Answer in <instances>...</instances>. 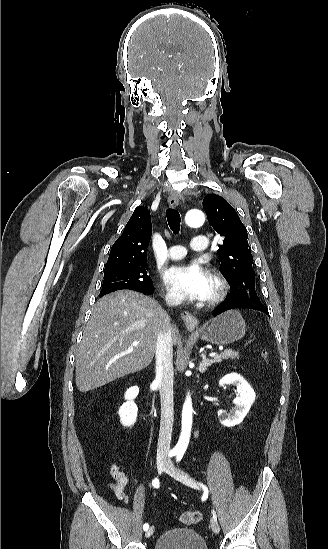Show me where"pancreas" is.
Here are the masks:
<instances>
[{"label":"pancreas","instance_id":"1","mask_svg":"<svg viewBox=\"0 0 328 549\" xmlns=\"http://www.w3.org/2000/svg\"><path fill=\"white\" fill-rule=\"evenodd\" d=\"M223 359H239V355L236 351H232V349H226L224 353H220V355L214 357L213 363H221Z\"/></svg>","mask_w":328,"mask_h":549}]
</instances>
